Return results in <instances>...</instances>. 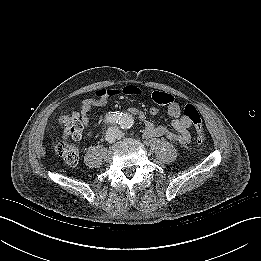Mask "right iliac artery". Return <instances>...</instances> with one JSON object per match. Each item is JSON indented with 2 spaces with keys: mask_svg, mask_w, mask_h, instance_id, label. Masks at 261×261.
<instances>
[{
  "mask_svg": "<svg viewBox=\"0 0 261 261\" xmlns=\"http://www.w3.org/2000/svg\"><path fill=\"white\" fill-rule=\"evenodd\" d=\"M121 114L119 112H111L105 117V123L117 124L120 122Z\"/></svg>",
  "mask_w": 261,
  "mask_h": 261,
  "instance_id": "obj_1",
  "label": "right iliac artery"
}]
</instances>
